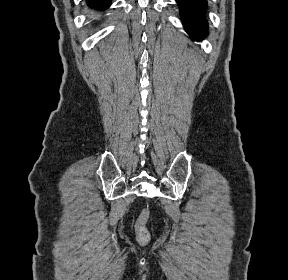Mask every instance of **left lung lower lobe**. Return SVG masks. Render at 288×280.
Masks as SVG:
<instances>
[{
  "mask_svg": "<svg viewBox=\"0 0 288 280\" xmlns=\"http://www.w3.org/2000/svg\"><path fill=\"white\" fill-rule=\"evenodd\" d=\"M180 7L183 25L194 40H200L207 33L208 25L204 19L206 0H176Z\"/></svg>",
  "mask_w": 288,
  "mask_h": 280,
  "instance_id": "1",
  "label": "left lung lower lobe"
}]
</instances>
